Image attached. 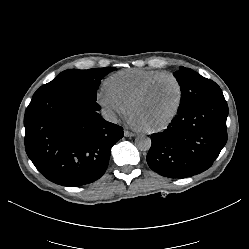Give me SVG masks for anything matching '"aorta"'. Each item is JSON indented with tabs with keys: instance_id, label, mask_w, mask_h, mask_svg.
<instances>
[{
	"instance_id": "aorta-1",
	"label": "aorta",
	"mask_w": 249,
	"mask_h": 249,
	"mask_svg": "<svg viewBox=\"0 0 249 249\" xmlns=\"http://www.w3.org/2000/svg\"><path fill=\"white\" fill-rule=\"evenodd\" d=\"M135 145L141 151H148L151 147V139L144 135H139L135 139Z\"/></svg>"
}]
</instances>
